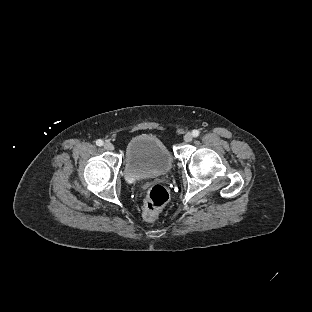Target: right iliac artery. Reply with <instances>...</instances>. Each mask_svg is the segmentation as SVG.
I'll return each instance as SVG.
<instances>
[{
    "instance_id": "obj_1",
    "label": "right iliac artery",
    "mask_w": 312,
    "mask_h": 312,
    "mask_svg": "<svg viewBox=\"0 0 312 312\" xmlns=\"http://www.w3.org/2000/svg\"><path fill=\"white\" fill-rule=\"evenodd\" d=\"M96 145H97V146H102V145H103V141H102L101 139H98V140L96 141Z\"/></svg>"
}]
</instances>
